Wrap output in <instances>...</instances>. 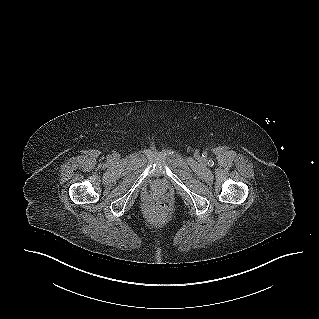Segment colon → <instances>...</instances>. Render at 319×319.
I'll return each mask as SVG.
<instances>
[{"label":"colon","mask_w":319,"mask_h":319,"mask_svg":"<svg viewBox=\"0 0 319 319\" xmlns=\"http://www.w3.org/2000/svg\"><path fill=\"white\" fill-rule=\"evenodd\" d=\"M156 209L159 210V211H164V210H166V205L163 204V203H157L156 204Z\"/></svg>","instance_id":"colon-1"}]
</instances>
